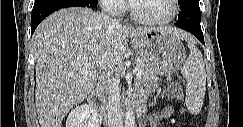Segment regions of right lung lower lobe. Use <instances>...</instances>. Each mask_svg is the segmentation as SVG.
I'll return each mask as SVG.
<instances>
[{"mask_svg":"<svg viewBox=\"0 0 243 127\" xmlns=\"http://www.w3.org/2000/svg\"><path fill=\"white\" fill-rule=\"evenodd\" d=\"M96 4V0H35L31 13V35L45 17L58 9L74 6L92 8Z\"/></svg>","mask_w":243,"mask_h":127,"instance_id":"right-lung-lower-lobe-1","label":"right lung lower lobe"}]
</instances>
